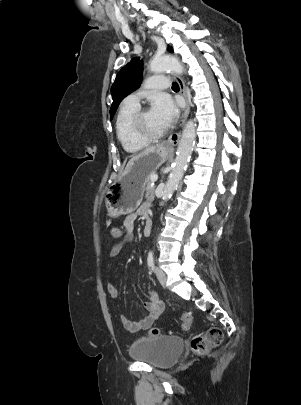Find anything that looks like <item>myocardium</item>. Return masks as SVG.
<instances>
[{
    "mask_svg": "<svg viewBox=\"0 0 301 405\" xmlns=\"http://www.w3.org/2000/svg\"><path fill=\"white\" fill-rule=\"evenodd\" d=\"M148 110L145 108H140L137 109V111L133 114L130 122V129L134 137H136L139 140H142L144 142H154L162 137H164L168 131L169 128H165L163 131L159 133H148L143 129L142 126V121H143V116Z\"/></svg>",
    "mask_w": 301,
    "mask_h": 405,
    "instance_id": "myocardium-1",
    "label": "myocardium"
}]
</instances>
